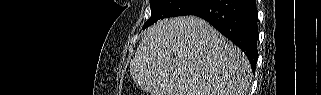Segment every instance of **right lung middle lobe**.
<instances>
[{
	"label": "right lung middle lobe",
	"mask_w": 321,
	"mask_h": 95,
	"mask_svg": "<svg viewBox=\"0 0 321 95\" xmlns=\"http://www.w3.org/2000/svg\"><path fill=\"white\" fill-rule=\"evenodd\" d=\"M208 0H150L151 17L144 24L143 29L160 19L191 15Z\"/></svg>",
	"instance_id": "1"
}]
</instances>
